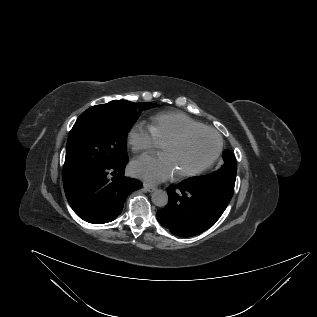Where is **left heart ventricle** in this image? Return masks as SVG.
<instances>
[{
  "mask_svg": "<svg viewBox=\"0 0 317 317\" xmlns=\"http://www.w3.org/2000/svg\"><path fill=\"white\" fill-rule=\"evenodd\" d=\"M217 138L211 133L193 134L182 143L164 146L166 154L177 173L193 170L206 162L215 152Z\"/></svg>",
  "mask_w": 317,
  "mask_h": 317,
  "instance_id": "1",
  "label": "left heart ventricle"
}]
</instances>
